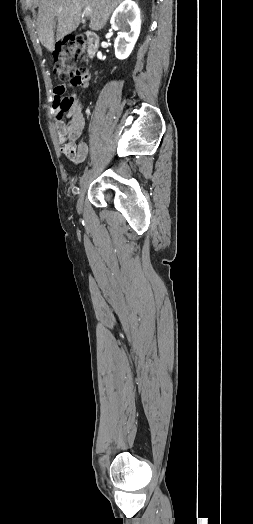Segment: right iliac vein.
Returning <instances> with one entry per match:
<instances>
[{
    "instance_id": "1",
    "label": "right iliac vein",
    "mask_w": 253,
    "mask_h": 524,
    "mask_svg": "<svg viewBox=\"0 0 253 524\" xmlns=\"http://www.w3.org/2000/svg\"><path fill=\"white\" fill-rule=\"evenodd\" d=\"M91 175H92V170H89L87 175L85 176V178L82 180L80 184V191H79V196H78V201H77V210L79 212L82 211L84 197H85V193L87 191V188L90 182Z\"/></svg>"
}]
</instances>
